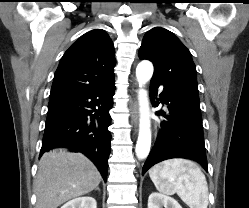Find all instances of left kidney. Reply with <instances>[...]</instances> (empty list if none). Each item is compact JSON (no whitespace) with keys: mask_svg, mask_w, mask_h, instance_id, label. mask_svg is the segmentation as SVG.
Returning a JSON list of instances; mask_svg holds the SVG:
<instances>
[{"mask_svg":"<svg viewBox=\"0 0 249 208\" xmlns=\"http://www.w3.org/2000/svg\"><path fill=\"white\" fill-rule=\"evenodd\" d=\"M182 208L172 197L153 192L148 198V208Z\"/></svg>","mask_w":249,"mask_h":208,"instance_id":"left-kidney-1","label":"left kidney"}]
</instances>
